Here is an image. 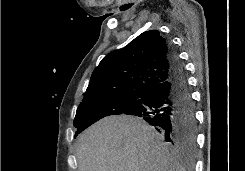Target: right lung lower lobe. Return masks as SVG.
I'll list each match as a JSON object with an SVG mask.
<instances>
[{
    "label": "right lung lower lobe",
    "instance_id": "98d812e1",
    "mask_svg": "<svg viewBox=\"0 0 245 171\" xmlns=\"http://www.w3.org/2000/svg\"><path fill=\"white\" fill-rule=\"evenodd\" d=\"M169 78L147 90L123 112L143 118L154 126L176 152L193 156L196 150V119L194 103L184 66L170 45Z\"/></svg>",
    "mask_w": 245,
    "mask_h": 171
}]
</instances>
